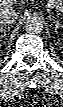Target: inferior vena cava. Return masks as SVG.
<instances>
[{
  "label": "inferior vena cava",
  "mask_w": 63,
  "mask_h": 107,
  "mask_svg": "<svg viewBox=\"0 0 63 107\" xmlns=\"http://www.w3.org/2000/svg\"><path fill=\"white\" fill-rule=\"evenodd\" d=\"M18 14L13 9H2L0 11V25L9 26L16 22Z\"/></svg>",
  "instance_id": "obj_1"
}]
</instances>
